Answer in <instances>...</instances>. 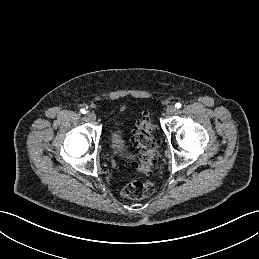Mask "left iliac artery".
<instances>
[{"label": "left iliac artery", "instance_id": "44dca946", "mask_svg": "<svg viewBox=\"0 0 259 259\" xmlns=\"http://www.w3.org/2000/svg\"><path fill=\"white\" fill-rule=\"evenodd\" d=\"M181 106H182V105H181V103H179V102L175 104V108H177V109L181 108Z\"/></svg>", "mask_w": 259, "mask_h": 259}]
</instances>
